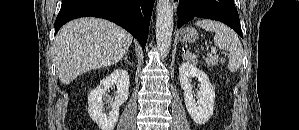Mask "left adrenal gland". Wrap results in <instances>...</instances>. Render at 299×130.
<instances>
[{"mask_svg":"<svg viewBox=\"0 0 299 130\" xmlns=\"http://www.w3.org/2000/svg\"><path fill=\"white\" fill-rule=\"evenodd\" d=\"M187 58H188V57H187L186 53L183 52V53H182V59H183V60H187Z\"/></svg>","mask_w":299,"mask_h":130,"instance_id":"obj_1","label":"left adrenal gland"}]
</instances>
